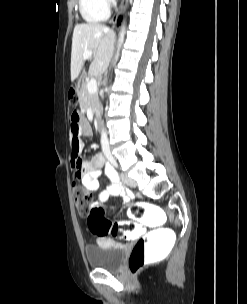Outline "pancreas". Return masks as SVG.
Wrapping results in <instances>:
<instances>
[{
  "label": "pancreas",
  "mask_w": 247,
  "mask_h": 304,
  "mask_svg": "<svg viewBox=\"0 0 247 304\" xmlns=\"http://www.w3.org/2000/svg\"><path fill=\"white\" fill-rule=\"evenodd\" d=\"M87 82L88 81H85L82 85L83 88L81 90H78L80 107L83 110H87L88 108H90L92 112L95 113L99 107L98 94L97 92L93 94L89 93L87 88Z\"/></svg>",
  "instance_id": "1"
}]
</instances>
